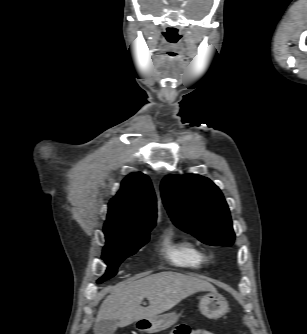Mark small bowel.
Segmentation results:
<instances>
[{
  "instance_id": "1",
  "label": "small bowel",
  "mask_w": 307,
  "mask_h": 334,
  "mask_svg": "<svg viewBox=\"0 0 307 334\" xmlns=\"http://www.w3.org/2000/svg\"><path fill=\"white\" fill-rule=\"evenodd\" d=\"M173 334H214L206 329H189L187 327H179Z\"/></svg>"
}]
</instances>
